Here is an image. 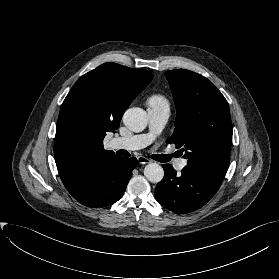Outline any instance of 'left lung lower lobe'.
Returning a JSON list of instances; mask_svg holds the SVG:
<instances>
[{
	"label": "left lung lower lobe",
	"instance_id": "0a47b994",
	"mask_svg": "<svg viewBox=\"0 0 279 279\" xmlns=\"http://www.w3.org/2000/svg\"><path fill=\"white\" fill-rule=\"evenodd\" d=\"M164 178L155 189L156 200L168 210L186 214L205 205L220 186L202 176L181 171V175L169 164L163 165Z\"/></svg>",
	"mask_w": 279,
	"mask_h": 279
}]
</instances>
